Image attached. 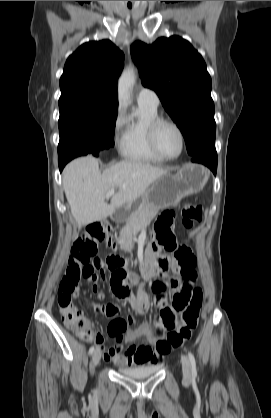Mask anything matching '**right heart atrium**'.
<instances>
[{"label": "right heart atrium", "mask_w": 271, "mask_h": 418, "mask_svg": "<svg viewBox=\"0 0 271 418\" xmlns=\"http://www.w3.org/2000/svg\"><path fill=\"white\" fill-rule=\"evenodd\" d=\"M124 122H125V118H124L123 111L119 109L114 120V131L116 135L122 128Z\"/></svg>", "instance_id": "1"}]
</instances>
